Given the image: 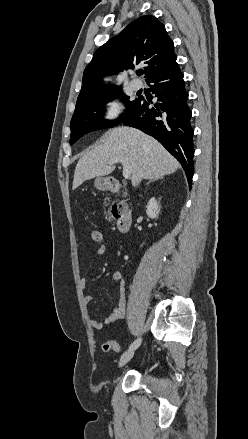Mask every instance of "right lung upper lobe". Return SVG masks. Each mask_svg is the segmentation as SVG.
Returning a JSON list of instances; mask_svg holds the SVG:
<instances>
[{"label": "right lung upper lobe", "mask_w": 248, "mask_h": 439, "mask_svg": "<svg viewBox=\"0 0 248 439\" xmlns=\"http://www.w3.org/2000/svg\"><path fill=\"white\" fill-rule=\"evenodd\" d=\"M173 50V41L156 17L138 18L96 50L84 70L76 108L114 91V85L102 84L101 79L105 75L144 64L147 81L153 75L170 69L177 64Z\"/></svg>", "instance_id": "right-lung-upper-lobe-1"}]
</instances>
